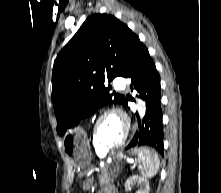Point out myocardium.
Returning a JSON list of instances; mask_svg holds the SVG:
<instances>
[{"mask_svg":"<svg viewBox=\"0 0 221 193\" xmlns=\"http://www.w3.org/2000/svg\"><path fill=\"white\" fill-rule=\"evenodd\" d=\"M109 114H114V115H117L119 116L123 123H124V133H123V136L121 138V140L115 144V145H112V146H108V145H105L103 144L100 140H99V137H98V133H97V128H98V124L99 122L107 115ZM130 119L129 117L127 116V114L122 111L121 109L119 108H116V107H110V108H107V109H104L98 116L97 118L95 119L94 121V124H93V127H92V138H93V143L98 146L100 149H102L104 152H108V151H111V150H115V149H118L120 148L126 141L128 135H129V132H130Z\"/></svg>","mask_w":221,"mask_h":193,"instance_id":"1","label":"myocardium"}]
</instances>
